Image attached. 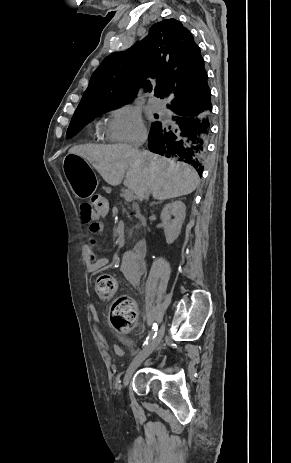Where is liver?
<instances>
[{
  "label": "liver",
  "mask_w": 291,
  "mask_h": 463,
  "mask_svg": "<svg viewBox=\"0 0 291 463\" xmlns=\"http://www.w3.org/2000/svg\"><path fill=\"white\" fill-rule=\"evenodd\" d=\"M68 153L89 161L112 186L119 185L125 177L124 185L139 200H143L145 190L159 200L188 195L200 182L191 166L146 150L136 151L127 144L78 145Z\"/></svg>",
  "instance_id": "1"
}]
</instances>
